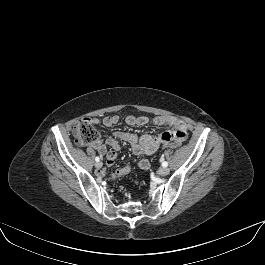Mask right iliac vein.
Returning a JSON list of instances; mask_svg holds the SVG:
<instances>
[{
    "label": "right iliac vein",
    "mask_w": 265,
    "mask_h": 265,
    "mask_svg": "<svg viewBox=\"0 0 265 265\" xmlns=\"http://www.w3.org/2000/svg\"><path fill=\"white\" fill-rule=\"evenodd\" d=\"M102 165H103V163L100 162V161L95 163V167L98 168V169H100L102 167Z\"/></svg>",
    "instance_id": "63e3f726"
}]
</instances>
